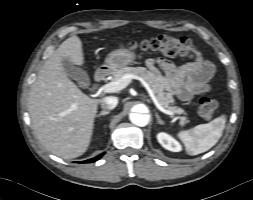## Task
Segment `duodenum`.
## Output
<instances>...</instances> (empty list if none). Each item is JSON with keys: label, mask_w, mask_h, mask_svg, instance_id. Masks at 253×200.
<instances>
[{"label": "duodenum", "mask_w": 253, "mask_h": 200, "mask_svg": "<svg viewBox=\"0 0 253 200\" xmlns=\"http://www.w3.org/2000/svg\"><path fill=\"white\" fill-rule=\"evenodd\" d=\"M110 73V69L107 67H101L99 68L94 75V80L96 82H101L103 81Z\"/></svg>", "instance_id": "1"}]
</instances>
